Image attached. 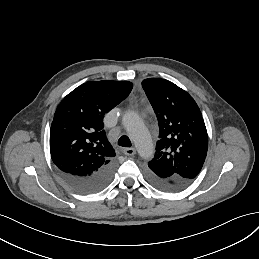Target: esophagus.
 <instances>
[{
	"mask_svg": "<svg viewBox=\"0 0 259 259\" xmlns=\"http://www.w3.org/2000/svg\"><path fill=\"white\" fill-rule=\"evenodd\" d=\"M123 153L127 156H133L136 154L135 148H125L123 149Z\"/></svg>",
	"mask_w": 259,
	"mask_h": 259,
	"instance_id": "1",
	"label": "esophagus"
}]
</instances>
